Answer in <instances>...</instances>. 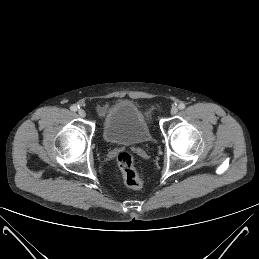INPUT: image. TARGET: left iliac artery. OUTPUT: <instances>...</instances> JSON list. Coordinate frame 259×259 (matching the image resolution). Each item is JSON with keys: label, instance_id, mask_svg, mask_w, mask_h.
I'll list each match as a JSON object with an SVG mask.
<instances>
[{"label": "left iliac artery", "instance_id": "obj_1", "mask_svg": "<svg viewBox=\"0 0 259 259\" xmlns=\"http://www.w3.org/2000/svg\"><path fill=\"white\" fill-rule=\"evenodd\" d=\"M178 108H179L180 110H183V109L185 108V104H184V103H180V104L178 105Z\"/></svg>", "mask_w": 259, "mask_h": 259}]
</instances>
